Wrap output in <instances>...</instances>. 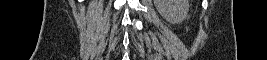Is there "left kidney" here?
<instances>
[{
    "instance_id": "5707ae66",
    "label": "left kidney",
    "mask_w": 267,
    "mask_h": 60,
    "mask_svg": "<svg viewBox=\"0 0 267 60\" xmlns=\"http://www.w3.org/2000/svg\"><path fill=\"white\" fill-rule=\"evenodd\" d=\"M160 15L171 24H180L189 12L188 0H153Z\"/></svg>"
}]
</instances>
